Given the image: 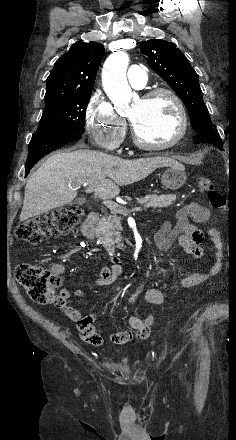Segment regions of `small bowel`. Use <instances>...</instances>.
<instances>
[{
	"instance_id": "c3829d8e",
	"label": "small bowel",
	"mask_w": 236,
	"mask_h": 440,
	"mask_svg": "<svg viewBox=\"0 0 236 440\" xmlns=\"http://www.w3.org/2000/svg\"><path fill=\"white\" fill-rule=\"evenodd\" d=\"M210 217V211L207 207L197 203L189 202L181 207L175 214V220L168 219L163 225L154 232V241L156 247L160 251H168L176 242L195 258L203 255V233L192 223L189 218L195 222H207ZM210 241L214 249V261L210 269L206 273L194 272L182 275L179 279L178 285L180 288H192L199 286L207 280L215 277L221 267L223 261V252L221 247L220 232L212 227L209 229ZM52 269L59 274L63 272L64 268L60 264H54ZM122 274V269L119 266L112 268L104 267L101 269L99 276L94 280L98 286L112 285ZM161 275V271H157L151 275V278H156ZM147 280L142 282L136 290L129 297L128 302L134 304L137 298L144 294L145 300L154 305H160L165 300V295L162 291L156 288H146ZM59 296L63 299L64 309L66 315L77 323L81 338L92 345H99L102 342L101 336L96 331L97 323L93 315L83 317L79 310L67 305V300L71 297L83 299L84 294L81 290H71L69 288H62ZM129 326L125 331H120L111 336V340L116 344L128 343L134 335L139 339H148L151 332L150 324H143L138 315H131L128 319ZM136 332V334H135Z\"/></svg>"
}]
</instances>
